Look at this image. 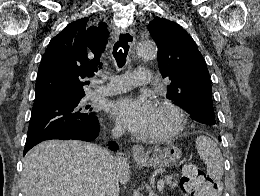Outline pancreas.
<instances>
[{
  "mask_svg": "<svg viewBox=\"0 0 260 196\" xmlns=\"http://www.w3.org/2000/svg\"><path fill=\"white\" fill-rule=\"evenodd\" d=\"M178 176H164V180L170 188H177L178 182H177Z\"/></svg>",
  "mask_w": 260,
  "mask_h": 196,
  "instance_id": "obj_1",
  "label": "pancreas"
}]
</instances>
